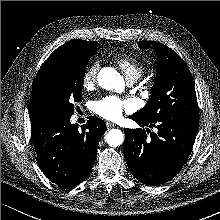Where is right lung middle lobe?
I'll list each match as a JSON object with an SVG mask.
<instances>
[{
  "instance_id": "1",
  "label": "right lung middle lobe",
  "mask_w": 220,
  "mask_h": 220,
  "mask_svg": "<svg viewBox=\"0 0 220 220\" xmlns=\"http://www.w3.org/2000/svg\"><path fill=\"white\" fill-rule=\"evenodd\" d=\"M96 51V48L75 49L61 55L45 68L35 95L44 115H73V103L82 100L86 64Z\"/></svg>"
}]
</instances>
